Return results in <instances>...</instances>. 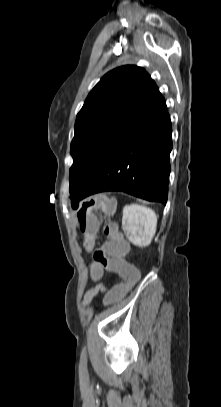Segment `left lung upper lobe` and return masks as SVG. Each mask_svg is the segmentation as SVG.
<instances>
[{
    "mask_svg": "<svg viewBox=\"0 0 221 407\" xmlns=\"http://www.w3.org/2000/svg\"><path fill=\"white\" fill-rule=\"evenodd\" d=\"M156 88L143 68L122 66L108 72L92 89L77 115L71 142V199L93 179Z\"/></svg>",
    "mask_w": 221,
    "mask_h": 407,
    "instance_id": "obj_1",
    "label": "left lung upper lobe"
}]
</instances>
